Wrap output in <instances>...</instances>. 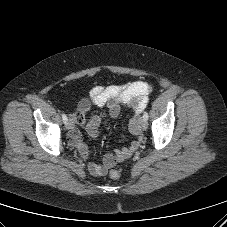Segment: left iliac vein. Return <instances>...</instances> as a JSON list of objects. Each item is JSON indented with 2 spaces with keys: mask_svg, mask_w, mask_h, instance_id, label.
Here are the masks:
<instances>
[{
  "mask_svg": "<svg viewBox=\"0 0 227 227\" xmlns=\"http://www.w3.org/2000/svg\"><path fill=\"white\" fill-rule=\"evenodd\" d=\"M139 126L141 127V129L146 130L148 126L147 121L144 118H140Z\"/></svg>",
  "mask_w": 227,
  "mask_h": 227,
  "instance_id": "left-iliac-vein-1",
  "label": "left iliac vein"
}]
</instances>
